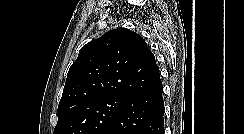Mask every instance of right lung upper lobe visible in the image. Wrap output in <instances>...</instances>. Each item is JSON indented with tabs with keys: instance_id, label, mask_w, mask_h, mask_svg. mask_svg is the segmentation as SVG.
<instances>
[{
	"instance_id": "right-lung-upper-lobe-1",
	"label": "right lung upper lobe",
	"mask_w": 244,
	"mask_h": 134,
	"mask_svg": "<svg viewBox=\"0 0 244 134\" xmlns=\"http://www.w3.org/2000/svg\"><path fill=\"white\" fill-rule=\"evenodd\" d=\"M159 83V68L144 39L125 28L111 30L80 49L67 74L58 119L108 97L130 99Z\"/></svg>"
}]
</instances>
